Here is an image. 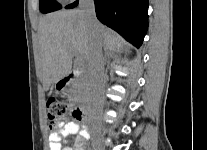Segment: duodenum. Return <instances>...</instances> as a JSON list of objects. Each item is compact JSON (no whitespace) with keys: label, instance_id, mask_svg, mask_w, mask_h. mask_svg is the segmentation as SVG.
I'll use <instances>...</instances> for the list:
<instances>
[{"label":"duodenum","instance_id":"1","mask_svg":"<svg viewBox=\"0 0 207 150\" xmlns=\"http://www.w3.org/2000/svg\"><path fill=\"white\" fill-rule=\"evenodd\" d=\"M72 79H73V76L72 75H66L65 77H63L61 79V85L66 87V86H69L71 83H72ZM79 113L81 114V116H87L89 114V109L87 107H80L78 109Z\"/></svg>","mask_w":207,"mask_h":150}]
</instances>
